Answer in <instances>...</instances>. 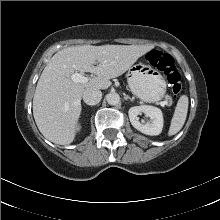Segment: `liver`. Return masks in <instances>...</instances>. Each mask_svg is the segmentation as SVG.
<instances>
[{"label": "liver", "instance_id": "1", "mask_svg": "<svg viewBox=\"0 0 220 220\" xmlns=\"http://www.w3.org/2000/svg\"><path fill=\"white\" fill-rule=\"evenodd\" d=\"M152 48V45H82L58 51L44 68L33 98V116L42 135L55 144H71L82 110L83 92L88 88H109L110 79L125 73ZM77 71L96 76L87 83L74 82L70 76Z\"/></svg>", "mask_w": 220, "mask_h": 220}]
</instances>
